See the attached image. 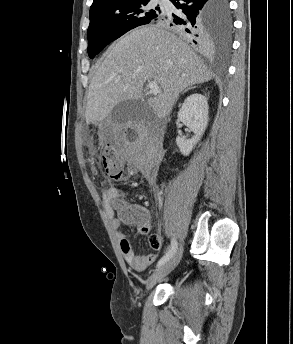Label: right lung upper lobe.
<instances>
[{
	"mask_svg": "<svg viewBox=\"0 0 293 344\" xmlns=\"http://www.w3.org/2000/svg\"><path fill=\"white\" fill-rule=\"evenodd\" d=\"M115 1H118V0H94L93 4L90 7V10L97 8V7H100V6H103V5H106V4H109V3H113Z\"/></svg>",
	"mask_w": 293,
	"mask_h": 344,
	"instance_id": "1",
	"label": "right lung upper lobe"
}]
</instances>
